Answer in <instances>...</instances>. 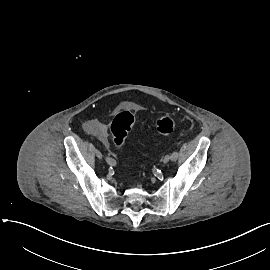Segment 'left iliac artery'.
Here are the masks:
<instances>
[{
	"mask_svg": "<svg viewBox=\"0 0 270 270\" xmlns=\"http://www.w3.org/2000/svg\"><path fill=\"white\" fill-rule=\"evenodd\" d=\"M178 152L177 151H174L172 154H171V160L172 161H176L178 159Z\"/></svg>",
	"mask_w": 270,
	"mask_h": 270,
	"instance_id": "left-iliac-artery-1",
	"label": "left iliac artery"
}]
</instances>
